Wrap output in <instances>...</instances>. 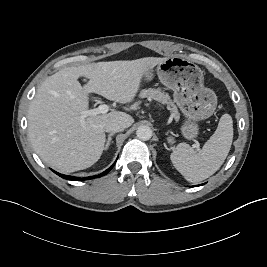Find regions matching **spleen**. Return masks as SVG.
Segmentation results:
<instances>
[{"mask_svg":"<svg viewBox=\"0 0 267 267\" xmlns=\"http://www.w3.org/2000/svg\"><path fill=\"white\" fill-rule=\"evenodd\" d=\"M233 141V120L229 114L221 116L215 133L195 152L180 143L171 153L173 166L191 182L197 183L213 175L224 163Z\"/></svg>","mask_w":267,"mask_h":267,"instance_id":"1","label":"spleen"}]
</instances>
